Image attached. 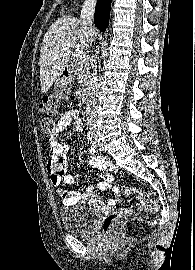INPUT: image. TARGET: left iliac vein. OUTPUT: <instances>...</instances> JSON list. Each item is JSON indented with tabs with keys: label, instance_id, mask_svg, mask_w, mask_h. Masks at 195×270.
I'll return each instance as SVG.
<instances>
[{
	"label": "left iliac vein",
	"instance_id": "4c4485c4",
	"mask_svg": "<svg viewBox=\"0 0 195 270\" xmlns=\"http://www.w3.org/2000/svg\"><path fill=\"white\" fill-rule=\"evenodd\" d=\"M92 132H93V138H92L93 145L95 146V148L102 150L99 140H98V134H97L96 129H93Z\"/></svg>",
	"mask_w": 195,
	"mask_h": 270
}]
</instances>
